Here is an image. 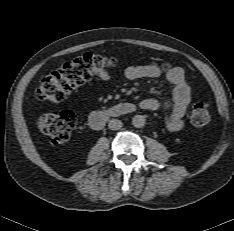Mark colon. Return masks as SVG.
Returning <instances> with one entry per match:
<instances>
[{
  "mask_svg": "<svg viewBox=\"0 0 234 231\" xmlns=\"http://www.w3.org/2000/svg\"><path fill=\"white\" fill-rule=\"evenodd\" d=\"M115 66L116 60L112 57L83 54L43 77L36 89V96L41 100L62 101L78 86L95 76L107 73ZM157 67L160 70L168 69L165 63ZM76 122L74 113L63 111L42 115L38 125L43 134L49 136L54 144L59 145L68 141ZM190 122L197 129H203L210 124L211 115L205 103L199 102L194 105L190 114Z\"/></svg>",
  "mask_w": 234,
  "mask_h": 231,
  "instance_id": "obj_1",
  "label": "colon"
}]
</instances>
